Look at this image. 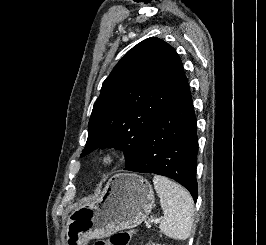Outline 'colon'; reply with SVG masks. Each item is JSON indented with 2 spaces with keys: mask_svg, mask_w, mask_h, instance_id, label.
Wrapping results in <instances>:
<instances>
[{
  "mask_svg": "<svg viewBox=\"0 0 266 245\" xmlns=\"http://www.w3.org/2000/svg\"><path fill=\"white\" fill-rule=\"evenodd\" d=\"M133 235L132 230H121L114 233L110 238V245H129ZM95 245H106L105 240H97Z\"/></svg>",
  "mask_w": 266,
  "mask_h": 245,
  "instance_id": "1",
  "label": "colon"
}]
</instances>
